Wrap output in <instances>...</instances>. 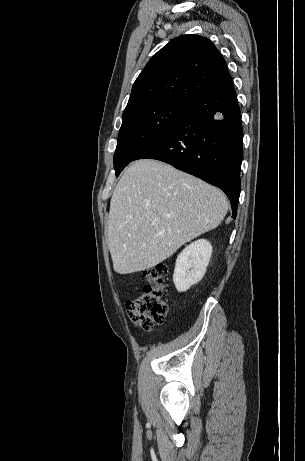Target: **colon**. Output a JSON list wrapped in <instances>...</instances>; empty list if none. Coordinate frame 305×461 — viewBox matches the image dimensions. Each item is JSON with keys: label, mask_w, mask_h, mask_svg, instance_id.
<instances>
[{"label": "colon", "mask_w": 305, "mask_h": 461, "mask_svg": "<svg viewBox=\"0 0 305 461\" xmlns=\"http://www.w3.org/2000/svg\"><path fill=\"white\" fill-rule=\"evenodd\" d=\"M168 267L159 264L144 272L147 283L140 294L126 305L129 319L139 328L150 331L165 321L168 306L163 299Z\"/></svg>", "instance_id": "colon-1"}]
</instances>
